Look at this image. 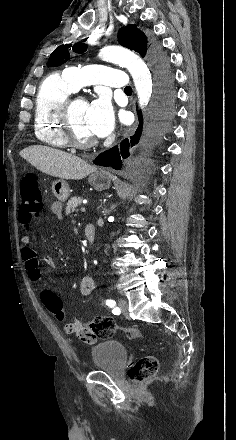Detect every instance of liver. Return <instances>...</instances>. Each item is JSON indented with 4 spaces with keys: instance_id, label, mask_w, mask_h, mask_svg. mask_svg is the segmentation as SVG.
<instances>
[{
    "instance_id": "1",
    "label": "liver",
    "mask_w": 236,
    "mask_h": 440,
    "mask_svg": "<svg viewBox=\"0 0 236 440\" xmlns=\"http://www.w3.org/2000/svg\"><path fill=\"white\" fill-rule=\"evenodd\" d=\"M20 156L39 171L66 180H81L96 169L79 157L47 146H30Z\"/></svg>"
}]
</instances>
